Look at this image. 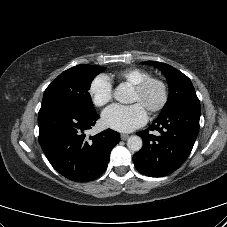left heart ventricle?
<instances>
[{
    "label": "left heart ventricle",
    "instance_id": "1",
    "mask_svg": "<svg viewBox=\"0 0 227 227\" xmlns=\"http://www.w3.org/2000/svg\"><path fill=\"white\" fill-rule=\"evenodd\" d=\"M160 99V90L157 86H152L145 94H139L134 90L132 102L140 103L145 109L156 104Z\"/></svg>",
    "mask_w": 227,
    "mask_h": 227
}]
</instances>
